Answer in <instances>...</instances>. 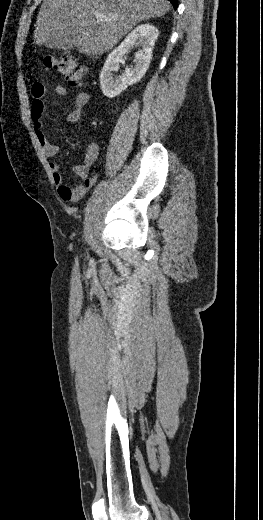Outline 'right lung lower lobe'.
Listing matches in <instances>:
<instances>
[{"label": "right lung lower lobe", "instance_id": "right-lung-lower-lobe-1", "mask_svg": "<svg viewBox=\"0 0 263 520\" xmlns=\"http://www.w3.org/2000/svg\"><path fill=\"white\" fill-rule=\"evenodd\" d=\"M173 6H174V9L176 10L177 9V4H178V0H169Z\"/></svg>", "mask_w": 263, "mask_h": 520}]
</instances>
